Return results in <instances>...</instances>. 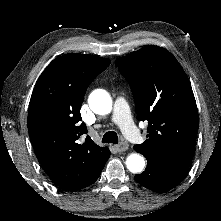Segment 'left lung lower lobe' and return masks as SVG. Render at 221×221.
<instances>
[{
	"label": "left lung lower lobe",
	"instance_id": "left-lung-lower-lobe-1",
	"mask_svg": "<svg viewBox=\"0 0 221 221\" xmlns=\"http://www.w3.org/2000/svg\"><path fill=\"white\" fill-rule=\"evenodd\" d=\"M189 167L160 161L147 162L145 171L134 177L140 185L163 193L177 186L187 175Z\"/></svg>",
	"mask_w": 221,
	"mask_h": 221
}]
</instances>
